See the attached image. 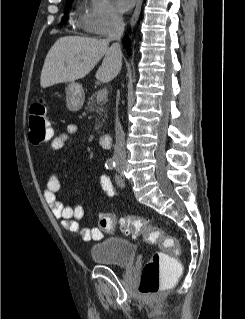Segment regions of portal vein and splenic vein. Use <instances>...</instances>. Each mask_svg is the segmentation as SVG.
Returning <instances> with one entry per match:
<instances>
[{"instance_id":"obj_1","label":"portal vein and splenic vein","mask_w":245,"mask_h":319,"mask_svg":"<svg viewBox=\"0 0 245 319\" xmlns=\"http://www.w3.org/2000/svg\"><path fill=\"white\" fill-rule=\"evenodd\" d=\"M107 95H108V91L106 88L100 89L98 91L97 100L102 101L107 98Z\"/></svg>"}]
</instances>
